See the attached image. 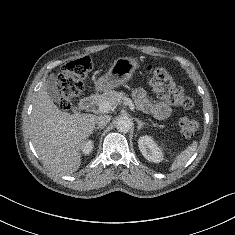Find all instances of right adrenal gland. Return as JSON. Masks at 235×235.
<instances>
[{
	"label": "right adrenal gland",
	"mask_w": 235,
	"mask_h": 235,
	"mask_svg": "<svg viewBox=\"0 0 235 235\" xmlns=\"http://www.w3.org/2000/svg\"><path fill=\"white\" fill-rule=\"evenodd\" d=\"M104 128V126H98V127H95L94 131L96 132L97 130H102Z\"/></svg>",
	"instance_id": "2a0ac1e0"
}]
</instances>
